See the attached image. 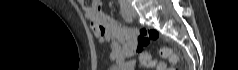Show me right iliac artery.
<instances>
[{"mask_svg": "<svg viewBox=\"0 0 238 70\" xmlns=\"http://www.w3.org/2000/svg\"><path fill=\"white\" fill-rule=\"evenodd\" d=\"M120 12L126 22H132V16L130 15L129 11L122 2L120 3Z\"/></svg>", "mask_w": 238, "mask_h": 70, "instance_id": "1", "label": "right iliac artery"}]
</instances>
